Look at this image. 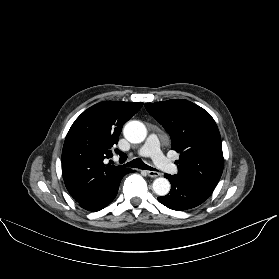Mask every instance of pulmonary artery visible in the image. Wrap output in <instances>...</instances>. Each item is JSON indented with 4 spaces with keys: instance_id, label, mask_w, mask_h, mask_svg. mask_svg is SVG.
<instances>
[{
    "instance_id": "obj_1",
    "label": "pulmonary artery",
    "mask_w": 279,
    "mask_h": 279,
    "mask_svg": "<svg viewBox=\"0 0 279 279\" xmlns=\"http://www.w3.org/2000/svg\"><path fill=\"white\" fill-rule=\"evenodd\" d=\"M139 154L145 157H151L159 168L167 173L177 172L176 166L164 156L160 147V140L157 134H150L145 144L139 150Z\"/></svg>"
}]
</instances>
